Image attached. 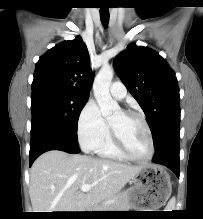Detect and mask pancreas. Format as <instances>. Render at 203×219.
<instances>
[{"instance_id":"cf45deb5","label":"pancreas","mask_w":203,"mask_h":219,"mask_svg":"<svg viewBox=\"0 0 203 219\" xmlns=\"http://www.w3.org/2000/svg\"><path fill=\"white\" fill-rule=\"evenodd\" d=\"M128 207L127 192H121L96 205L94 211H125Z\"/></svg>"}]
</instances>
